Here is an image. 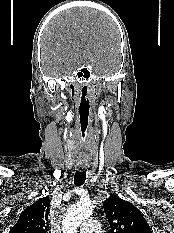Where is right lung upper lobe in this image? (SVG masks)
<instances>
[{"label": "right lung upper lobe", "mask_w": 174, "mask_h": 233, "mask_svg": "<svg viewBox=\"0 0 174 233\" xmlns=\"http://www.w3.org/2000/svg\"><path fill=\"white\" fill-rule=\"evenodd\" d=\"M49 211L50 199L40 198L20 214L9 233H46Z\"/></svg>", "instance_id": "obj_1"}]
</instances>
